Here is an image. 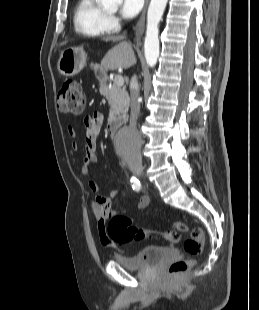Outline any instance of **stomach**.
I'll list each match as a JSON object with an SVG mask.
<instances>
[{
  "label": "stomach",
  "instance_id": "stomach-1",
  "mask_svg": "<svg viewBox=\"0 0 259 310\" xmlns=\"http://www.w3.org/2000/svg\"><path fill=\"white\" fill-rule=\"evenodd\" d=\"M87 55L81 47H69L62 51L57 68L66 77L78 74L86 65Z\"/></svg>",
  "mask_w": 259,
  "mask_h": 310
}]
</instances>
